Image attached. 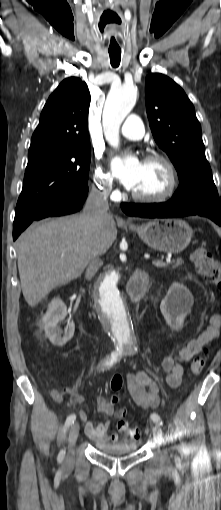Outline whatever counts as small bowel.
Here are the masks:
<instances>
[{
  "label": "small bowel",
  "mask_w": 221,
  "mask_h": 510,
  "mask_svg": "<svg viewBox=\"0 0 221 510\" xmlns=\"http://www.w3.org/2000/svg\"><path fill=\"white\" fill-rule=\"evenodd\" d=\"M219 325L220 316L214 314L210 319L208 327L197 338L189 341L181 348L177 356L169 355L163 359L162 369L166 373V383L169 387H179L184 375V364L189 362L205 345L217 336ZM126 389L135 404L142 408H156L159 405L160 387L146 372L136 371L127 374ZM73 400L76 403H82L84 402V397L73 393ZM98 410L107 416L117 414L113 404L105 397L98 398ZM79 417L85 423L86 434L94 442H113L118 439L117 434L109 433L111 425L109 420L95 425L88 419V414L85 410L79 412ZM118 430L124 434L129 433L125 427H121V422L118 423Z\"/></svg>",
  "instance_id": "1"
}]
</instances>
